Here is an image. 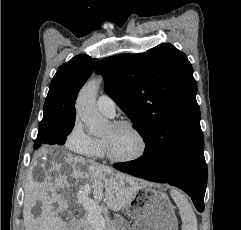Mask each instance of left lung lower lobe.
<instances>
[{
    "instance_id": "0a47b994",
    "label": "left lung lower lobe",
    "mask_w": 241,
    "mask_h": 230,
    "mask_svg": "<svg viewBox=\"0 0 241 230\" xmlns=\"http://www.w3.org/2000/svg\"><path fill=\"white\" fill-rule=\"evenodd\" d=\"M114 168L136 177L158 183H168L185 191L199 212L204 210L207 186V165L204 148L182 153L174 160L170 150L159 140L147 144L141 158L116 163Z\"/></svg>"
}]
</instances>
